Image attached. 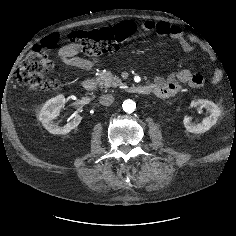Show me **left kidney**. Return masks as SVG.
<instances>
[{
  "mask_svg": "<svg viewBox=\"0 0 236 236\" xmlns=\"http://www.w3.org/2000/svg\"><path fill=\"white\" fill-rule=\"evenodd\" d=\"M191 106H200L205 108L209 115L204 118L202 122L196 124L190 121V117L185 116L183 120L184 126L190 133L201 134L210 130V128L216 124L218 117L221 115V109L209 100L198 99L192 101Z\"/></svg>",
  "mask_w": 236,
  "mask_h": 236,
  "instance_id": "left-kidney-1",
  "label": "left kidney"
}]
</instances>
